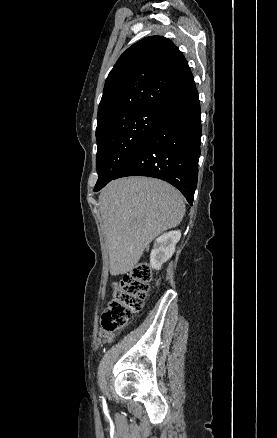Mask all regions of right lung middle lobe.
<instances>
[{"label":"right lung middle lobe","mask_w":277,"mask_h":438,"mask_svg":"<svg viewBox=\"0 0 277 438\" xmlns=\"http://www.w3.org/2000/svg\"><path fill=\"white\" fill-rule=\"evenodd\" d=\"M163 110H146L136 115H114L98 122L96 187L110 182L139 149Z\"/></svg>","instance_id":"obj_1"}]
</instances>
